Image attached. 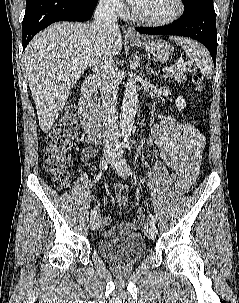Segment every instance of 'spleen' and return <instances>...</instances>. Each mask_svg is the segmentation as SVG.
<instances>
[{
    "mask_svg": "<svg viewBox=\"0 0 239 303\" xmlns=\"http://www.w3.org/2000/svg\"><path fill=\"white\" fill-rule=\"evenodd\" d=\"M178 46H181L185 54L195 61L198 69L208 79L213 75V62L207 49L196 41L184 37H170Z\"/></svg>",
    "mask_w": 239,
    "mask_h": 303,
    "instance_id": "spleen-1",
    "label": "spleen"
}]
</instances>
